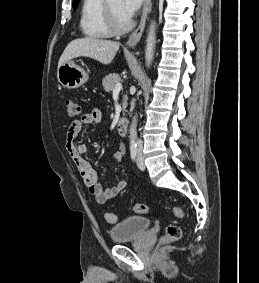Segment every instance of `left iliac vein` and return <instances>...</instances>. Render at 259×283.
I'll return each instance as SVG.
<instances>
[{
	"mask_svg": "<svg viewBox=\"0 0 259 283\" xmlns=\"http://www.w3.org/2000/svg\"><path fill=\"white\" fill-rule=\"evenodd\" d=\"M136 163H137V166L140 170H144L145 169V164H144V161H143V158H142V154L141 152L139 151L138 154H137V160H136Z\"/></svg>",
	"mask_w": 259,
	"mask_h": 283,
	"instance_id": "4c4485c4",
	"label": "left iliac vein"
}]
</instances>
